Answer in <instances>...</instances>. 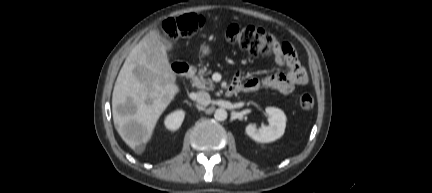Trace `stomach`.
<instances>
[{"instance_id": "1", "label": "stomach", "mask_w": 432, "mask_h": 193, "mask_svg": "<svg viewBox=\"0 0 432 193\" xmlns=\"http://www.w3.org/2000/svg\"><path fill=\"white\" fill-rule=\"evenodd\" d=\"M201 51L203 55H208L211 53V48L208 45H203Z\"/></svg>"}]
</instances>
